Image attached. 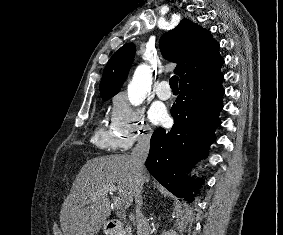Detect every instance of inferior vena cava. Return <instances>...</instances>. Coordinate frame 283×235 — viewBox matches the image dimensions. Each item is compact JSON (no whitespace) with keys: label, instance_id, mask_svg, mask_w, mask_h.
Returning a JSON list of instances; mask_svg holds the SVG:
<instances>
[{"label":"inferior vena cava","instance_id":"obj_1","mask_svg":"<svg viewBox=\"0 0 283 235\" xmlns=\"http://www.w3.org/2000/svg\"><path fill=\"white\" fill-rule=\"evenodd\" d=\"M151 134H142L138 138L136 146L132 150L131 158L135 167V204L137 235H149L150 226L141 211L142 190L145 175V160L149 154Z\"/></svg>","mask_w":283,"mask_h":235}]
</instances>
